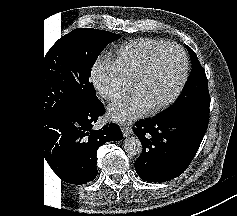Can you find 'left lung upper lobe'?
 I'll list each match as a JSON object with an SVG mask.
<instances>
[{"instance_id": "1", "label": "left lung upper lobe", "mask_w": 237, "mask_h": 216, "mask_svg": "<svg viewBox=\"0 0 237 216\" xmlns=\"http://www.w3.org/2000/svg\"><path fill=\"white\" fill-rule=\"evenodd\" d=\"M192 61V70L178 100L160 116L182 118L191 124L207 127L210 96L208 82L195 52L185 45Z\"/></svg>"}]
</instances>
